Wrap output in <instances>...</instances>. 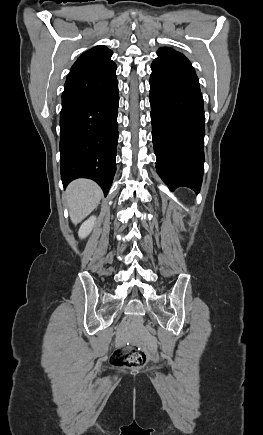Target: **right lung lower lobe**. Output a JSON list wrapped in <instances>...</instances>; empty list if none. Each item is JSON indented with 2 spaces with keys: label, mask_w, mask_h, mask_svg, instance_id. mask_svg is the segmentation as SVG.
<instances>
[{
  "label": "right lung lower lobe",
  "mask_w": 263,
  "mask_h": 435,
  "mask_svg": "<svg viewBox=\"0 0 263 435\" xmlns=\"http://www.w3.org/2000/svg\"><path fill=\"white\" fill-rule=\"evenodd\" d=\"M116 64L66 79L60 115L61 179L97 182L106 195L116 171Z\"/></svg>",
  "instance_id": "98d812e1"
}]
</instances>
